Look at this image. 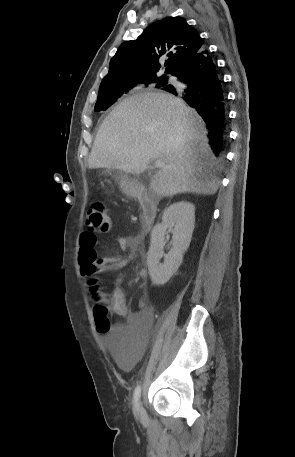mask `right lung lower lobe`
<instances>
[{"label":"right lung lower lobe","instance_id":"98d812e1","mask_svg":"<svg viewBox=\"0 0 295 457\" xmlns=\"http://www.w3.org/2000/svg\"><path fill=\"white\" fill-rule=\"evenodd\" d=\"M174 73L184 86L170 85L165 91L179 95L198 111L210 130L211 148L217 156L221 155L225 148L227 99L215 62L202 48Z\"/></svg>","mask_w":295,"mask_h":457}]
</instances>
